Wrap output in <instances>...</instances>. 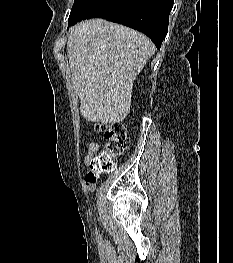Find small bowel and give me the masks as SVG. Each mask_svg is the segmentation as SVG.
<instances>
[{
  "instance_id": "small-bowel-1",
  "label": "small bowel",
  "mask_w": 233,
  "mask_h": 263,
  "mask_svg": "<svg viewBox=\"0 0 233 263\" xmlns=\"http://www.w3.org/2000/svg\"><path fill=\"white\" fill-rule=\"evenodd\" d=\"M99 151V144L95 141H91L88 144V150H87V154L84 158V164L85 165H90V163L92 162V160L97 156V153ZM86 186L89 190H93L94 189V183H88L86 182Z\"/></svg>"
}]
</instances>
